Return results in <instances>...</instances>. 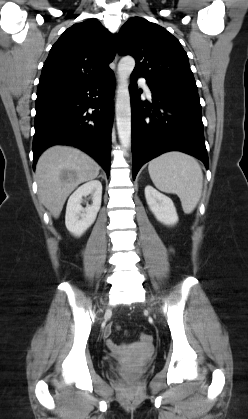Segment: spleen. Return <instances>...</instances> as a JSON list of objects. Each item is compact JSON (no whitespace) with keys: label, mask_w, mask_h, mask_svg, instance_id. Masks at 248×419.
Here are the masks:
<instances>
[{"label":"spleen","mask_w":248,"mask_h":419,"mask_svg":"<svg viewBox=\"0 0 248 419\" xmlns=\"http://www.w3.org/2000/svg\"><path fill=\"white\" fill-rule=\"evenodd\" d=\"M148 171L160 191L178 195L184 213L193 212L203 188L202 169L195 158L178 151L167 152L153 159Z\"/></svg>","instance_id":"obj_1"}]
</instances>
